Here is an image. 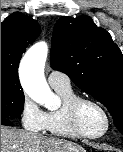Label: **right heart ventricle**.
<instances>
[{"instance_id":"obj_1","label":"right heart ventricle","mask_w":123,"mask_h":152,"mask_svg":"<svg viewBox=\"0 0 123 152\" xmlns=\"http://www.w3.org/2000/svg\"><path fill=\"white\" fill-rule=\"evenodd\" d=\"M62 99V105L46 113L45 132L51 136L75 139L78 136L71 128L67 116V105L76 96L72 88H54Z\"/></svg>"}]
</instances>
